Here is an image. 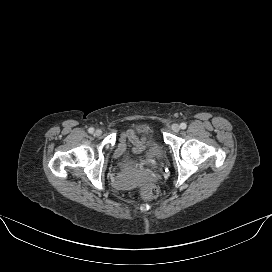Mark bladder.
<instances>
[{
	"label": "bladder",
	"instance_id": "obj_1",
	"mask_svg": "<svg viewBox=\"0 0 272 272\" xmlns=\"http://www.w3.org/2000/svg\"><path fill=\"white\" fill-rule=\"evenodd\" d=\"M135 130L138 132H145L151 134V129L148 125H138L135 127ZM145 156L158 162L163 161L165 158L163 149L154 139H152L148 144ZM114 159L116 164H121L122 166H128L131 163V160L128 157H124L119 154L118 149H116L115 151Z\"/></svg>",
	"mask_w": 272,
	"mask_h": 272
}]
</instances>
